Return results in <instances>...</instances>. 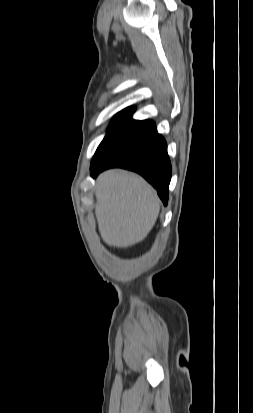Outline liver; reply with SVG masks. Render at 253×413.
<instances>
[{
  "mask_svg": "<svg viewBox=\"0 0 253 413\" xmlns=\"http://www.w3.org/2000/svg\"><path fill=\"white\" fill-rule=\"evenodd\" d=\"M95 195L98 228L107 245L132 246L155 225L160 200L139 175L122 169L105 171L97 179Z\"/></svg>",
  "mask_w": 253,
  "mask_h": 413,
  "instance_id": "liver-1",
  "label": "liver"
}]
</instances>
